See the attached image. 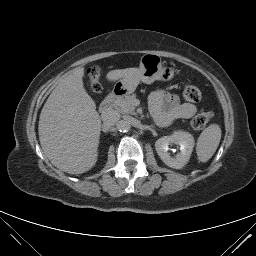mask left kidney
<instances>
[{
    "mask_svg": "<svg viewBox=\"0 0 256 256\" xmlns=\"http://www.w3.org/2000/svg\"><path fill=\"white\" fill-rule=\"evenodd\" d=\"M179 145L180 152L175 157L168 153L170 145ZM194 147V138L184 131H175L170 136H164L155 142V149L161 160L169 167L181 169L190 159Z\"/></svg>",
    "mask_w": 256,
    "mask_h": 256,
    "instance_id": "1",
    "label": "left kidney"
}]
</instances>
